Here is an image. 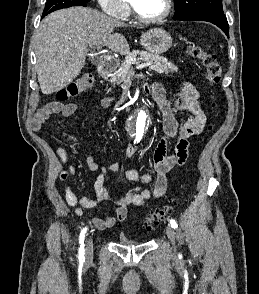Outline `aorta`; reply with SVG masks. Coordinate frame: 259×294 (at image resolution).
Masks as SVG:
<instances>
[{
	"mask_svg": "<svg viewBox=\"0 0 259 294\" xmlns=\"http://www.w3.org/2000/svg\"><path fill=\"white\" fill-rule=\"evenodd\" d=\"M150 114L148 111L141 110L131 121L130 131L132 135L139 139H145L149 133Z\"/></svg>",
	"mask_w": 259,
	"mask_h": 294,
	"instance_id": "762f6f07",
	"label": "aorta"
}]
</instances>
